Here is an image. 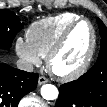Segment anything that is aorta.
<instances>
[{"label": "aorta", "mask_w": 107, "mask_h": 107, "mask_svg": "<svg viewBox=\"0 0 107 107\" xmlns=\"http://www.w3.org/2000/svg\"><path fill=\"white\" fill-rule=\"evenodd\" d=\"M41 96L45 100H55L58 97V89L52 84H45L41 87Z\"/></svg>", "instance_id": "762f6f07"}]
</instances>
